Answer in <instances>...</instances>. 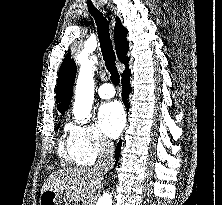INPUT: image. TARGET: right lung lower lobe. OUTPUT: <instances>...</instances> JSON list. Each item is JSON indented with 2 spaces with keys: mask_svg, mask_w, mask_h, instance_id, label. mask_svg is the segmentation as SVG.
I'll return each mask as SVG.
<instances>
[{
  "mask_svg": "<svg viewBox=\"0 0 222 205\" xmlns=\"http://www.w3.org/2000/svg\"><path fill=\"white\" fill-rule=\"evenodd\" d=\"M130 76H131V72H128L122 76V101L124 102V105L126 106L127 110L129 109V106H130L128 102V95L131 92V87L129 84ZM121 143H122V140H120L116 146V150H115L116 162L119 159Z\"/></svg>",
  "mask_w": 222,
  "mask_h": 205,
  "instance_id": "obj_1",
  "label": "right lung lower lobe"
}]
</instances>
